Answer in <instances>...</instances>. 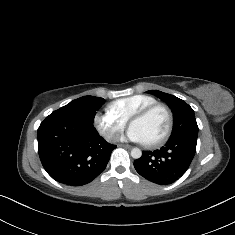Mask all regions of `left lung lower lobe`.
I'll use <instances>...</instances> for the list:
<instances>
[{"label": "left lung lower lobe", "instance_id": "obj_1", "mask_svg": "<svg viewBox=\"0 0 235 235\" xmlns=\"http://www.w3.org/2000/svg\"><path fill=\"white\" fill-rule=\"evenodd\" d=\"M197 139L190 137L170 138L160 150L143 151L134 161L136 171L145 179L160 185L171 184L189 168Z\"/></svg>", "mask_w": 235, "mask_h": 235}]
</instances>
